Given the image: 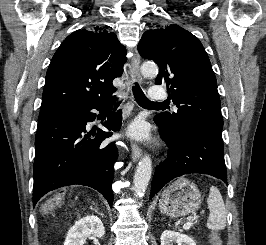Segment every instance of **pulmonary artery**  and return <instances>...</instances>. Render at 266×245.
Returning <instances> with one entry per match:
<instances>
[{
  "instance_id": "pulmonary-artery-1",
  "label": "pulmonary artery",
  "mask_w": 266,
  "mask_h": 245,
  "mask_svg": "<svg viewBox=\"0 0 266 245\" xmlns=\"http://www.w3.org/2000/svg\"><path fill=\"white\" fill-rule=\"evenodd\" d=\"M150 96H154V101H164L165 97L167 96V91H160V86H151L150 87ZM175 110H177V107H174Z\"/></svg>"
}]
</instances>
